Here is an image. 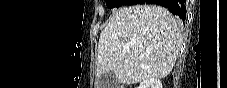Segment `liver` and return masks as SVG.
<instances>
[{
	"mask_svg": "<svg viewBox=\"0 0 227 88\" xmlns=\"http://www.w3.org/2000/svg\"><path fill=\"white\" fill-rule=\"evenodd\" d=\"M182 40L181 24L166 8L122 7L100 34L97 74L112 71L119 83L127 85L165 78L175 65Z\"/></svg>",
	"mask_w": 227,
	"mask_h": 88,
	"instance_id": "6515ba94",
	"label": "liver"
}]
</instances>
